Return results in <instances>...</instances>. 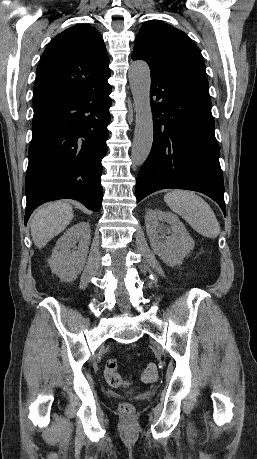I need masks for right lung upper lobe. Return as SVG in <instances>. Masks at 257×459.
I'll use <instances>...</instances> for the list:
<instances>
[{"mask_svg": "<svg viewBox=\"0 0 257 459\" xmlns=\"http://www.w3.org/2000/svg\"><path fill=\"white\" fill-rule=\"evenodd\" d=\"M109 58L99 32L80 24L58 34L37 67L33 107L97 88L110 77Z\"/></svg>", "mask_w": 257, "mask_h": 459, "instance_id": "obj_1", "label": "right lung upper lobe"}]
</instances>
